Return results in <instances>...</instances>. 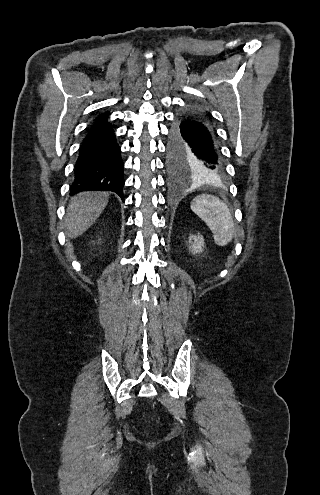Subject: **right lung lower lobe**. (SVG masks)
Wrapping results in <instances>:
<instances>
[{"label": "right lung lower lobe", "instance_id": "98d812e1", "mask_svg": "<svg viewBox=\"0 0 320 495\" xmlns=\"http://www.w3.org/2000/svg\"><path fill=\"white\" fill-rule=\"evenodd\" d=\"M124 162L108 119L93 123L79 149L70 194L82 191H112L124 201Z\"/></svg>", "mask_w": 320, "mask_h": 495}]
</instances>
